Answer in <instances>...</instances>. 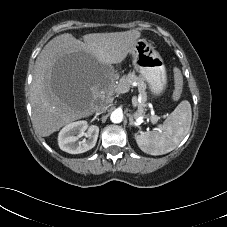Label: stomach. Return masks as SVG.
Wrapping results in <instances>:
<instances>
[{
  "mask_svg": "<svg viewBox=\"0 0 227 227\" xmlns=\"http://www.w3.org/2000/svg\"><path fill=\"white\" fill-rule=\"evenodd\" d=\"M132 64L149 85L154 96H160L167 86L164 61L154 47L145 39H139L131 50Z\"/></svg>",
  "mask_w": 227,
  "mask_h": 227,
  "instance_id": "0dacf381",
  "label": "stomach"
}]
</instances>
